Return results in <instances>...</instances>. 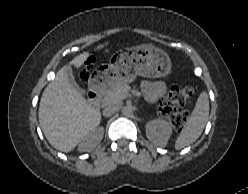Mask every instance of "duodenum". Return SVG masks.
Returning <instances> with one entry per match:
<instances>
[{
	"label": "duodenum",
	"instance_id": "duodenum-1",
	"mask_svg": "<svg viewBox=\"0 0 248 194\" xmlns=\"http://www.w3.org/2000/svg\"><path fill=\"white\" fill-rule=\"evenodd\" d=\"M101 84L95 81L88 92V102L92 108H96L100 103Z\"/></svg>",
	"mask_w": 248,
	"mask_h": 194
}]
</instances>
